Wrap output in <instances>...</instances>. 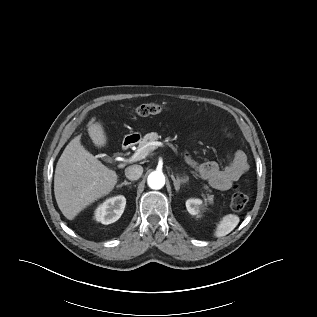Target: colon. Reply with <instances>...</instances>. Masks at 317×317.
Here are the masks:
<instances>
[{
    "label": "colon",
    "mask_w": 317,
    "mask_h": 317,
    "mask_svg": "<svg viewBox=\"0 0 317 317\" xmlns=\"http://www.w3.org/2000/svg\"><path fill=\"white\" fill-rule=\"evenodd\" d=\"M164 110L162 104L159 103H146L142 104L135 109V113L141 117L152 116L161 113ZM249 201V194L239 188L234 187V192L231 197V208L235 211L242 210Z\"/></svg>",
    "instance_id": "colon-1"
}]
</instances>
